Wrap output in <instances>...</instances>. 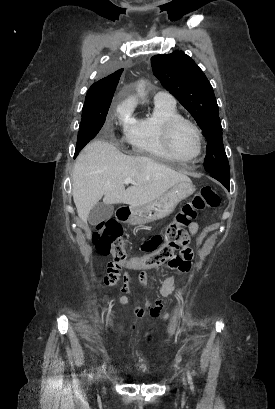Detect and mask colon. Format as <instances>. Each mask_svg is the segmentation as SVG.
Masks as SVG:
<instances>
[{"instance_id": "obj_1", "label": "colon", "mask_w": 275, "mask_h": 409, "mask_svg": "<svg viewBox=\"0 0 275 409\" xmlns=\"http://www.w3.org/2000/svg\"><path fill=\"white\" fill-rule=\"evenodd\" d=\"M220 206V197L211 187H203L191 201L185 203L179 212L165 227L162 233H156L142 244V250L148 252L146 256H126L125 246L121 240L123 234L122 225L114 219H108L96 226L92 235V243L102 253H112L115 261H109L106 272L115 275L122 264L128 265L138 271L156 270L164 266L170 257L176 254V250L184 245L187 229L197 212Z\"/></svg>"}]
</instances>
